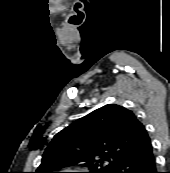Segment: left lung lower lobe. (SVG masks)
Instances as JSON below:
<instances>
[{
  "mask_svg": "<svg viewBox=\"0 0 170 173\" xmlns=\"http://www.w3.org/2000/svg\"><path fill=\"white\" fill-rule=\"evenodd\" d=\"M113 173H158L152 144L150 143L144 149L126 156Z\"/></svg>",
  "mask_w": 170,
  "mask_h": 173,
  "instance_id": "obj_1",
  "label": "left lung lower lobe"
}]
</instances>
